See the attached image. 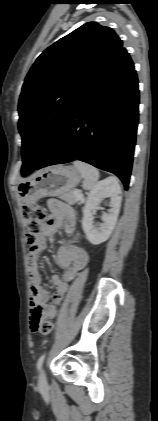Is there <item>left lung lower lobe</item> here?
I'll return each instance as SVG.
<instances>
[{"mask_svg":"<svg viewBox=\"0 0 158 421\" xmlns=\"http://www.w3.org/2000/svg\"><path fill=\"white\" fill-rule=\"evenodd\" d=\"M138 105L136 71L122 46L71 109L35 169L78 159L114 173L128 189Z\"/></svg>","mask_w":158,"mask_h":421,"instance_id":"1","label":"left lung lower lobe"}]
</instances>
